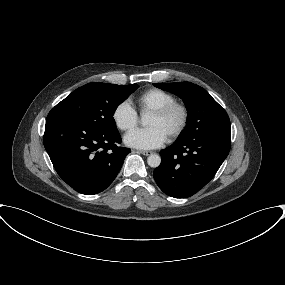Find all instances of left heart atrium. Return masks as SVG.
<instances>
[{"instance_id":"1","label":"left heart atrium","mask_w":285,"mask_h":285,"mask_svg":"<svg viewBox=\"0 0 285 285\" xmlns=\"http://www.w3.org/2000/svg\"><path fill=\"white\" fill-rule=\"evenodd\" d=\"M166 138L167 136L160 128L151 126L129 132L125 135L124 142L130 147L148 150L160 147Z\"/></svg>"}]
</instances>
